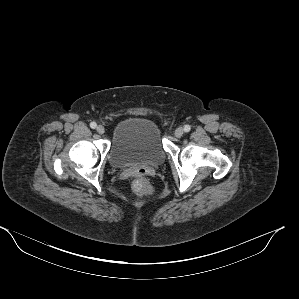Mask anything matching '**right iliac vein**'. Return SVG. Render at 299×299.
<instances>
[{
    "mask_svg": "<svg viewBox=\"0 0 299 299\" xmlns=\"http://www.w3.org/2000/svg\"><path fill=\"white\" fill-rule=\"evenodd\" d=\"M96 131L99 134H103L105 132V128L102 125H98L97 128H96Z\"/></svg>",
    "mask_w": 299,
    "mask_h": 299,
    "instance_id": "1",
    "label": "right iliac vein"
}]
</instances>
